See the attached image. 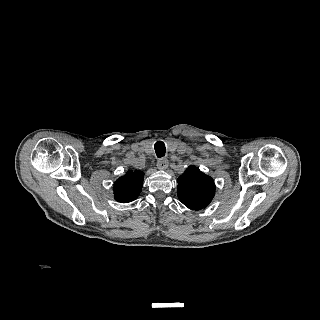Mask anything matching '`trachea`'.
<instances>
[{"instance_id":"1","label":"trachea","mask_w":320,"mask_h":320,"mask_svg":"<svg viewBox=\"0 0 320 320\" xmlns=\"http://www.w3.org/2000/svg\"><path fill=\"white\" fill-rule=\"evenodd\" d=\"M154 149L158 158H161L165 155L166 147L162 141H157L154 145Z\"/></svg>"}]
</instances>
